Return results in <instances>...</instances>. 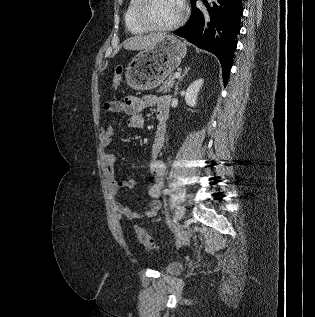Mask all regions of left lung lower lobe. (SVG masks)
Wrapping results in <instances>:
<instances>
[{
    "mask_svg": "<svg viewBox=\"0 0 315 317\" xmlns=\"http://www.w3.org/2000/svg\"><path fill=\"white\" fill-rule=\"evenodd\" d=\"M196 1H191L192 13L188 22L174 33L215 54L221 63L226 85L241 28L242 0H215L210 5L205 3L206 10L197 8Z\"/></svg>",
    "mask_w": 315,
    "mask_h": 317,
    "instance_id": "1",
    "label": "left lung lower lobe"
}]
</instances>
